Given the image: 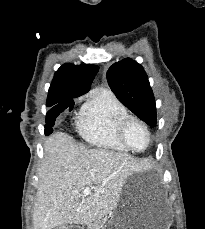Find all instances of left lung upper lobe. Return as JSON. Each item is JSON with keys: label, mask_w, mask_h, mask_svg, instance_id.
Returning a JSON list of instances; mask_svg holds the SVG:
<instances>
[{"label": "left lung upper lobe", "mask_w": 205, "mask_h": 229, "mask_svg": "<svg viewBox=\"0 0 205 229\" xmlns=\"http://www.w3.org/2000/svg\"><path fill=\"white\" fill-rule=\"evenodd\" d=\"M116 97L151 127L156 125V105L143 67L130 58L114 63L106 74Z\"/></svg>", "instance_id": "left-lung-upper-lobe-1"}]
</instances>
